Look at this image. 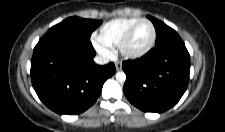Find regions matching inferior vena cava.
<instances>
[{"mask_svg": "<svg viewBox=\"0 0 225 132\" xmlns=\"http://www.w3.org/2000/svg\"><path fill=\"white\" fill-rule=\"evenodd\" d=\"M94 62L96 64H99V65H104V64H107L109 62V58H107L105 56H96L94 58Z\"/></svg>", "mask_w": 225, "mask_h": 132, "instance_id": "inferior-vena-cava-1", "label": "inferior vena cava"}]
</instances>
